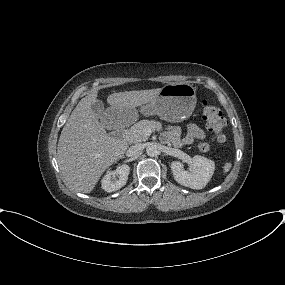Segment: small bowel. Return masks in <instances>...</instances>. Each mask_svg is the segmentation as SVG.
I'll return each instance as SVG.
<instances>
[{
  "label": "small bowel",
  "mask_w": 285,
  "mask_h": 285,
  "mask_svg": "<svg viewBox=\"0 0 285 285\" xmlns=\"http://www.w3.org/2000/svg\"><path fill=\"white\" fill-rule=\"evenodd\" d=\"M204 137L203 129L194 123L188 125V131L184 137H181L180 129L177 126H169L164 134L165 140L175 147L192 144L195 140H200Z\"/></svg>",
  "instance_id": "c3829d8e"
}]
</instances>
